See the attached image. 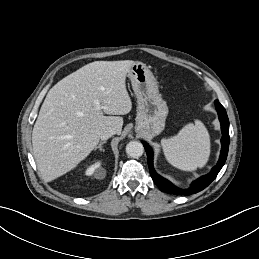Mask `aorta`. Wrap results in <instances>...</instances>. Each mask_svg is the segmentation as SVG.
Listing matches in <instances>:
<instances>
[{"label": "aorta", "instance_id": "762f6f07", "mask_svg": "<svg viewBox=\"0 0 259 259\" xmlns=\"http://www.w3.org/2000/svg\"><path fill=\"white\" fill-rule=\"evenodd\" d=\"M143 152H144V147L142 143L138 141H130L126 145V153L128 156L132 158H138L142 156Z\"/></svg>", "mask_w": 259, "mask_h": 259}]
</instances>
